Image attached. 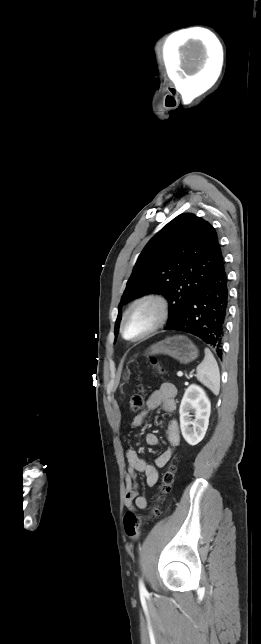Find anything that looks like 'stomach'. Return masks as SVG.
Returning a JSON list of instances; mask_svg holds the SVG:
<instances>
[{"label": "stomach", "mask_w": 261, "mask_h": 644, "mask_svg": "<svg viewBox=\"0 0 261 644\" xmlns=\"http://www.w3.org/2000/svg\"><path fill=\"white\" fill-rule=\"evenodd\" d=\"M148 353L151 355H168L181 364H188L198 357V349L186 336L167 337L150 346Z\"/></svg>", "instance_id": "0dacf381"}]
</instances>
